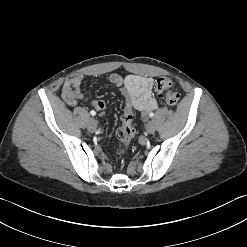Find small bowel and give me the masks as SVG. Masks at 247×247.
Masks as SVG:
<instances>
[{"label":"small bowel","mask_w":247,"mask_h":247,"mask_svg":"<svg viewBox=\"0 0 247 247\" xmlns=\"http://www.w3.org/2000/svg\"><path fill=\"white\" fill-rule=\"evenodd\" d=\"M123 83L129 86L131 94V107L145 116L148 112L158 107V102L153 95V79L146 76L130 74L122 77ZM83 77L79 74L70 75L64 82L62 97L69 106H75L78 101H88V97L81 91L80 84ZM107 82L108 76L106 77ZM110 83V82H109ZM111 84V83H110ZM92 106L102 115L105 110V102L102 100L91 101Z\"/></svg>","instance_id":"small-bowel-1"}]
</instances>
